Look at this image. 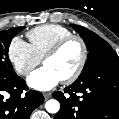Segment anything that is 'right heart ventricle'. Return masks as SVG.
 Returning a JSON list of instances; mask_svg holds the SVG:
<instances>
[{"label":"right heart ventricle","instance_id":"right-heart-ventricle-1","mask_svg":"<svg viewBox=\"0 0 119 119\" xmlns=\"http://www.w3.org/2000/svg\"><path fill=\"white\" fill-rule=\"evenodd\" d=\"M71 35H73L71 30L58 24L41 25L27 33L30 45L40 59H42L56 43Z\"/></svg>","mask_w":119,"mask_h":119}]
</instances>
